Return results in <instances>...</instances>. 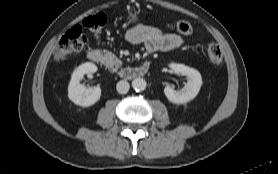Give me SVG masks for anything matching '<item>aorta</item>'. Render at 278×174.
Returning <instances> with one entry per match:
<instances>
[{
	"mask_svg": "<svg viewBox=\"0 0 278 174\" xmlns=\"http://www.w3.org/2000/svg\"><path fill=\"white\" fill-rule=\"evenodd\" d=\"M132 87L136 91H142L146 88V81L143 78H135L132 81Z\"/></svg>",
	"mask_w": 278,
	"mask_h": 174,
	"instance_id": "762f6f07",
	"label": "aorta"
}]
</instances>
